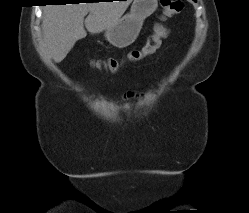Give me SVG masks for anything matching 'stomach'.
<instances>
[{
	"label": "stomach",
	"mask_w": 249,
	"mask_h": 213,
	"mask_svg": "<svg viewBox=\"0 0 249 213\" xmlns=\"http://www.w3.org/2000/svg\"><path fill=\"white\" fill-rule=\"evenodd\" d=\"M157 7L158 0H134L130 12L105 30V38L115 47H127L135 41L144 20L154 13Z\"/></svg>",
	"instance_id": "stomach-1"
}]
</instances>
